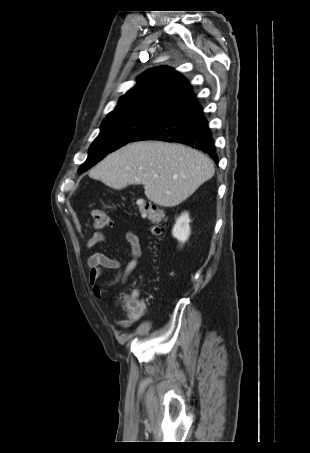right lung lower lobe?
<instances>
[{
    "label": "right lung lower lobe",
    "instance_id": "1",
    "mask_svg": "<svg viewBox=\"0 0 310 453\" xmlns=\"http://www.w3.org/2000/svg\"><path fill=\"white\" fill-rule=\"evenodd\" d=\"M140 140L182 143L207 153L218 163L211 130L194 93L174 103L158 116L135 141Z\"/></svg>",
    "mask_w": 310,
    "mask_h": 453
}]
</instances>
